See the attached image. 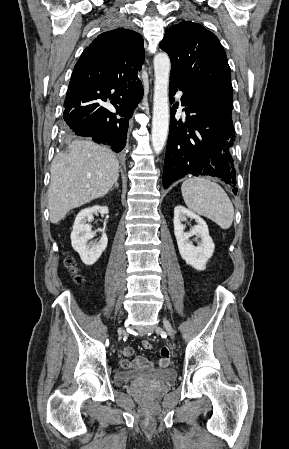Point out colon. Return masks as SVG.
<instances>
[{
    "label": "colon",
    "mask_w": 289,
    "mask_h": 449,
    "mask_svg": "<svg viewBox=\"0 0 289 449\" xmlns=\"http://www.w3.org/2000/svg\"><path fill=\"white\" fill-rule=\"evenodd\" d=\"M65 266H66L70 271H72L73 273H76V262H75V260H74L73 257L68 256V257L65 258ZM75 281H76L77 283H82V282H83L82 276L76 274V275H75ZM142 346H143L145 349H151V348H152V344H151L150 341H148V340H144V341L142 342ZM169 361H170V359H169Z\"/></svg>",
    "instance_id": "obj_1"
}]
</instances>
